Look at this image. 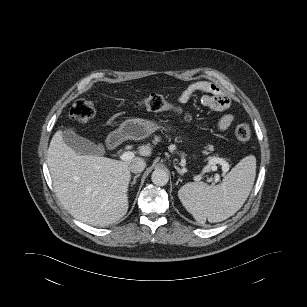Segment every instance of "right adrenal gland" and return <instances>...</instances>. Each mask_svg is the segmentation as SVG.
<instances>
[{
  "mask_svg": "<svg viewBox=\"0 0 307 307\" xmlns=\"http://www.w3.org/2000/svg\"><path fill=\"white\" fill-rule=\"evenodd\" d=\"M140 176V174H137L136 176H134L133 181L131 183V186H133L136 183V179Z\"/></svg>",
  "mask_w": 307,
  "mask_h": 307,
  "instance_id": "right-adrenal-gland-1",
  "label": "right adrenal gland"
}]
</instances>
